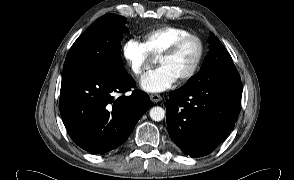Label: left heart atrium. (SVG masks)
<instances>
[{"mask_svg":"<svg viewBox=\"0 0 294 180\" xmlns=\"http://www.w3.org/2000/svg\"><path fill=\"white\" fill-rule=\"evenodd\" d=\"M176 81L177 78L167 68L159 66L141 78L140 86L147 92L158 93L171 88Z\"/></svg>","mask_w":294,"mask_h":180,"instance_id":"1","label":"left heart atrium"}]
</instances>
